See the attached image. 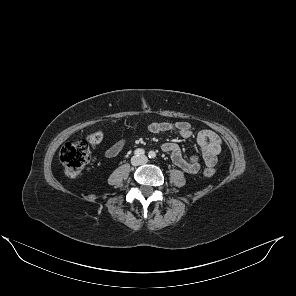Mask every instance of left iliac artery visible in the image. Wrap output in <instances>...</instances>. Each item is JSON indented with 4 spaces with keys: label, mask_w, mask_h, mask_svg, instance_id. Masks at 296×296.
Here are the masks:
<instances>
[{
    "label": "left iliac artery",
    "mask_w": 296,
    "mask_h": 296,
    "mask_svg": "<svg viewBox=\"0 0 296 296\" xmlns=\"http://www.w3.org/2000/svg\"><path fill=\"white\" fill-rule=\"evenodd\" d=\"M148 157L151 158V159L155 158V157H156L155 152H154V151H150V152L148 153Z\"/></svg>",
    "instance_id": "obj_1"
}]
</instances>
